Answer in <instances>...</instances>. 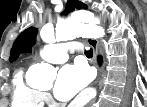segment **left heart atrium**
<instances>
[{"mask_svg":"<svg viewBox=\"0 0 147 107\" xmlns=\"http://www.w3.org/2000/svg\"><path fill=\"white\" fill-rule=\"evenodd\" d=\"M88 68L82 64L64 66L57 77L54 95L62 101H67L75 96L90 81Z\"/></svg>","mask_w":147,"mask_h":107,"instance_id":"39dd6f15","label":"left heart atrium"}]
</instances>
